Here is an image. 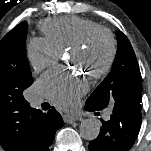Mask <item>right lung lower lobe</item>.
<instances>
[{"label":"right lung lower lobe","instance_id":"obj_1","mask_svg":"<svg viewBox=\"0 0 151 151\" xmlns=\"http://www.w3.org/2000/svg\"><path fill=\"white\" fill-rule=\"evenodd\" d=\"M40 124L42 129L41 138L36 151H50L56 131L62 127L61 115L52 107L48 113L40 111Z\"/></svg>","mask_w":151,"mask_h":151}]
</instances>
